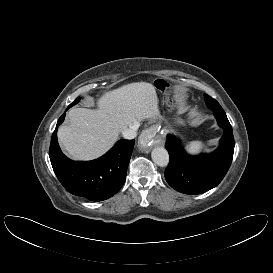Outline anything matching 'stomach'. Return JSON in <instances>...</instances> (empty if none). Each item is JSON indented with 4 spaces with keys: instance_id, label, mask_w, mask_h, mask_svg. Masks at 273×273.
Instances as JSON below:
<instances>
[{
    "instance_id": "obj_1",
    "label": "stomach",
    "mask_w": 273,
    "mask_h": 273,
    "mask_svg": "<svg viewBox=\"0 0 273 273\" xmlns=\"http://www.w3.org/2000/svg\"><path fill=\"white\" fill-rule=\"evenodd\" d=\"M156 86L160 89L161 92L167 93L170 87L169 82L164 79L156 80Z\"/></svg>"
}]
</instances>
